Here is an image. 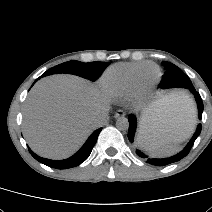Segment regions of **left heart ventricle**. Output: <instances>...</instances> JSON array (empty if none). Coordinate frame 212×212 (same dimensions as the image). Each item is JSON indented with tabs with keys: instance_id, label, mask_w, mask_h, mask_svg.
Masks as SVG:
<instances>
[{
	"instance_id": "left-heart-ventricle-1",
	"label": "left heart ventricle",
	"mask_w": 212,
	"mask_h": 212,
	"mask_svg": "<svg viewBox=\"0 0 212 212\" xmlns=\"http://www.w3.org/2000/svg\"><path fill=\"white\" fill-rule=\"evenodd\" d=\"M148 72H149L148 74H150L152 77L155 76V73L154 72H152V71H148Z\"/></svg>"
}]
</instances>
